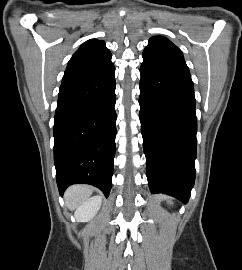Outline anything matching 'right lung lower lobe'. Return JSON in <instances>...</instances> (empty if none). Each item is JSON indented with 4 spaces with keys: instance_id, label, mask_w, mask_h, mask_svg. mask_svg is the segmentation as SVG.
<instances>
[{
    "instance_id": "obj_1",
    "label": "right lung lower lobe",
    "mask_w": 242,
    "mask_h": 270,
    "mask_svg": "<svg viewBox=\"0 0 242 270\" xmlns=\"http://www.w3.org/2000/svg\"><path fill=\"white\" fill-rule=\"evenodd\" d=\"M115 67L97 70L61 85L54 124V163L59 192L72 184L111 190L115 156Z\"/></svg>"
}]
</instances>
